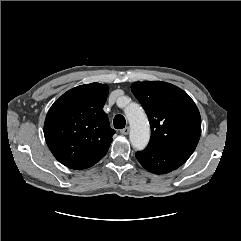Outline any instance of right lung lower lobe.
<instances>
[{
    "instance_id": "98d812e1",
    "label": "right lung lower lobe",
    "mask_w": 241,
    "mask_h": 241,
    "mask_svg": "<svg viewBox=\"0 0 241 241\" xmlns=\"http://www.w3.org/2000/svg\"><path fill=\"white\" fill-rule=\"evenodd\" d=\"M99 161V160H98ZM98 161L92 163V164H89V165H86V166H82V167H79V168H76V169H85V168H88V167H91L92 165H94L95 163H97Z\"/></svg>"
}]
</instances>
